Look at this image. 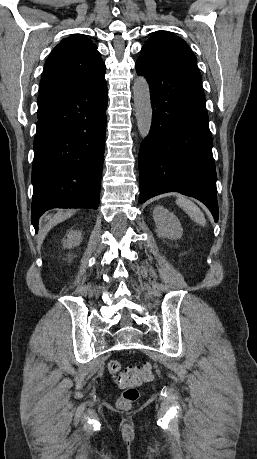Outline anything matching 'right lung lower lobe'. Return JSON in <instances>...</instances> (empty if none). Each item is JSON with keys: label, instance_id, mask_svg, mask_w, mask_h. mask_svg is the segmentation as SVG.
<instances>
[{"label": "right lung lower lobe", "instance_id": "98d812e1", "mask_svg": "<svg viewBox=\"0 0 257 459\" xmlns=\"http://www.w3.org/2000/svg\"><path fill=\"white\" fill-rule=\"evenodd\" d=\"M107 83L38 97L31 221L52 208L97 209L106 134Z\"/></svg>", "mask_w": 257, "mask_h": 459}]
</instances>
